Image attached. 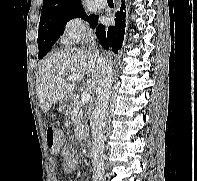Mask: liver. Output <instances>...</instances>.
Returning a JSON list of instances; mask_svg holds the SVG:
<instances>
[{
    "mask_svg": "<svg viewBox=\"0 0 197 181\" xmlns=\"http://www.w3.org/2000/svg\"><path fill=\"white\" fill-rule=\"evenodd\" d=\"M86 74L91 94L96 93L99 83L97 59L91 51L65 49L45 57L38 66L36 94L41 110L47 112L54 103L69 98L76 84L65 80L69 75ZM57 78H63L58 82Z\"/></svg>",
    "mask_w": 197,
    "mask_h": 181,
    "instance_id": "6515ba94",
    "label": "liver"
}]
</instances>
